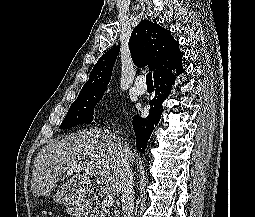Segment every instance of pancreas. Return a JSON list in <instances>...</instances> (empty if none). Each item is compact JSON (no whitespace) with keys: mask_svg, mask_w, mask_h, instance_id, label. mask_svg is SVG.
<instances>
[{"mask_svg":"<svg viewBox=\"0 0 255 217\" xmlns=\"http://www.w3.org/2000/svg\"><path fill=\"white\" fill-rule=\"evenodd\" d=\"M90 217H118V214L116 211H110V209L106 208L104 205H96Z\"/></svg>","mask_w":255,"mask_h":217,"instance_id":"obj_1","label":"pancreas"}]
</instances>
